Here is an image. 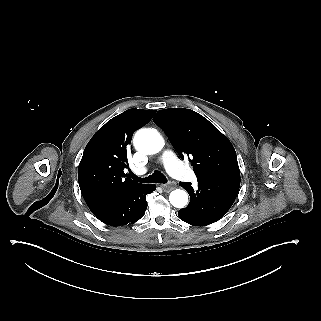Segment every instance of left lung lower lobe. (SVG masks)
I'll return each mask as SVG.
<instances>
[{
	"mask_svg": "<svg viewBox=\"0 0 321 321\" xmlns=\"http://www.w3.org/2000/svg\"><path fill=\"white\" fill-rule=\"evenodd\" d=\"M197 180V189H193L191 183H179L189 193L190 203L179 210L178 216L191 225L205 226L223 217L234 203L240 173L214 174L197 177Z\"/></svg>",
	"mask_w": 321,
	"mask_h": 321,
	"instance_id": "0a47b994",
	"label": "left lung lower lobe"
}]
</instances>
